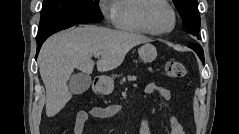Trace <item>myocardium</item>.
Segmentation results:
<instances>
[{"label": "myocardium", "instance_id": "obj_1", "mask_svg": "<svg viewBox=\"0 0 239 134\" xmlns=\"http://www.w3.org/2000/svg\"><path fill=\"white\" fill-rule=\"evenodd\" d=\"M156 3H161L163 5H165L171 12L172 14V25L168 30L165 31H158L156 30L152 23H151V19H150V11L151 8L153 7L154 4ZM141 20L143 25L146 27V29L153 35L156 36H165L168 35L170 33H172L174 31V29L176 28L177 25V13L174 9V7L170 4V2L166 1V0H146L142 11H141Z\"/></svg>", "mask_w": 239, "mask_h": 134}]
</instances>
